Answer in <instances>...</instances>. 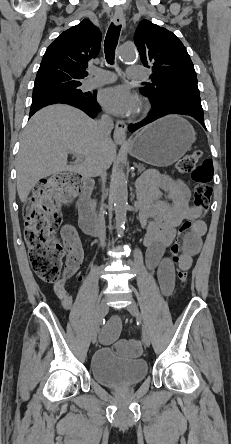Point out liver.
<instances>
[{"label":"liver","mask_w":231,"mask_h":444,"mask_svg":"<svg viewBox=\"0 0 231 444\" xmlns=\"http://www.w3.org/2000/svg\"><path fill=\"white\" fill-rule=\"evenodd\" d=\"M69 154L77 157L70 165ZM114 157L113 141L103 139L98 123L84 112L62 104L44 107L21 134L16 167L19 198L25 202L42 178L64 171L93 176L99 161L109 168Z\"/></svg>","instance_id":"liver-1"}]
</instances>
